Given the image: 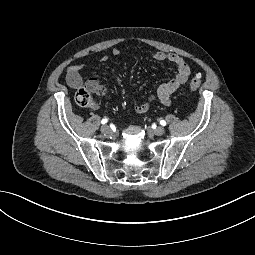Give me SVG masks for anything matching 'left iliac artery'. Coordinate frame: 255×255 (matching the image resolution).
<instances>
[{
    "label": "left iliac artery",
    "mask_w": 255,
    "mask_h": 255,
    "mask_svg": "<svg viewBox=\"0 0 255 255\" xmlns=\"http://www.w3.org/2000/svg\"><path fill=\"white\" fill-rule=\"evenodd\" d=\"M160 124L163 125V126H165V125H166V122H165L164 120H161V121H160Z\"/></svg>",
    "instance_id": "obj_1"
}]
</instances>
